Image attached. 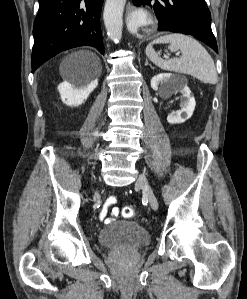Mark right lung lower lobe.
I'll list each match as a JSON object with an SVG mask.
<instances>
[{
  "label": "right lung lower lobe",
  "instance_id": "1",
  "mask_svg": "<svg viewBox=\"0 0 247 299\" xmlns=\"http://www.w3.org/2000/svg\"><path fill=\"white\" fill-rule=\"evenodd\" d=\"M102 4L103 0H39L33 28L32 72L59 52L74 47L93 46L104 54Z\"/></svg>",
  "mask_w": 247,
  "mask_h": 299
}]
</instances>
